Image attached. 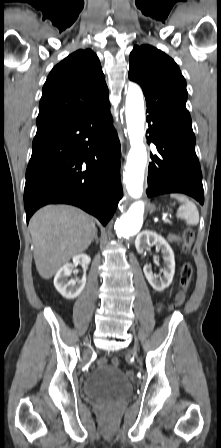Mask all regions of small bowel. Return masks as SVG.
I'll return each instance as SVG.
<instances>
[{
    "label": "small bowel",
    "instance_id": "c3829d8e",
    "mask_svg": "<svg viewBox=\"0 0 221 448\" xmlns=\"http://www.w3.org/2000/svg\"><path fill=\"white\" fill-rule=\"evenodd\" d=\"M169 240L172 242H178V241H180V237L176 234H170ZM182 300H183V296H182Z\"/></svg>",
    "mask_w": 221,
    "mask_h": 448
}]
</instances>
